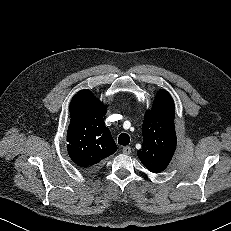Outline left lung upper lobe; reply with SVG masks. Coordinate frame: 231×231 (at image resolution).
Returning a JSON list of instances; mask_svg holds the SVG:
<instances>
[{
	"label": "left lung upper lobe",
	"instance_id": "obj_1",
	"mask_svg": "<svg viewBox=\"0 0 231 231\" xmlns=\"http://www.w3.org/2000/svg\"><path fill=\"white\" fill-rule=\"evenodd\" d=\"M170 94L160 90L143 121V147L137 151L142 164L153 173H160L170 163L176 147L175 107Z\"/></svg>",
	"mask_w": 231,
	"mask_h": 231
}]
</instances>
